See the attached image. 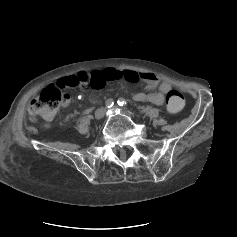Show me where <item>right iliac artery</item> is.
Listing matches in <instances>:
<instances>
[{
	"mask_svg": "<svg viewBox=\"0 0 237 237\" xmlns=\"http://www.w3.org/2000/svg\"><path fill=\"white\" fill-rule=\"evenodd\" d=\"M113 104H114L113 99H108L105 102V105H106L107 108H111L113 106Z\"/></svg>",
	"mask_w": 237,
	"mask_h": 237,
	"instance_id": "1",
	"label": "right iliac artery"
}]
</instances>
